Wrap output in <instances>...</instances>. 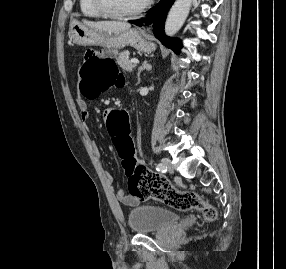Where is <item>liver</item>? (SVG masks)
Instances as JSON below:
<instances>
[{
  "label": "liver",
  "instance_id": "obj_1",
  "mask_svg": "<svg viewBox=\"0 0 286 269\" xmlns=\"http://www.w3.org/2000/svg\"><path fill=\"white\" fill-rule=\"evenodd\" d=\"M83 24L103 31V32H109L112 34H119L122 33L126 30H129L131 25L126 22H121V21H98V22H93V21H88V20H83Z\"/></svg>",
  "mask_w": 286,
  "mask_h": 269
}]
</instances>
